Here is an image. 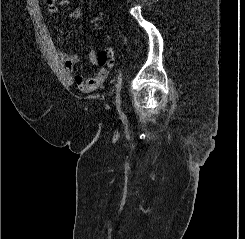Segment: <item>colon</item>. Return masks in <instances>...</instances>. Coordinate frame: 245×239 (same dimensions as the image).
<instances>
[{
    "mask_svg": "<svg viewBox=\"0 0 245 239\" xmlns=\"http://www.w3.org/2000/svg\"><path fill=\"white\" fill-rule=\"evenodd\" d=\"M47 2H54V0H46Z\"/></svg>",
    "mask_w": 245,
    "mask_h": 239,
    "instance_id": "1",
    "label": "colon"
}]
</instances>
